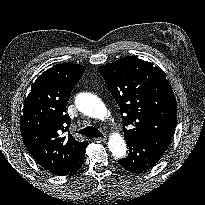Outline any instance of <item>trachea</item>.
I'll use <instances>...</instances> for the list:
<instances>
[{
	"label": "trachea",
	"instance_id": "1",
	"mask_svg": "<svg viewBox=\"0 0 205 205\" xmlns=\"http://www.w3.org/2000/svg\"><path fill=\"white\" fill-rule=\"evenodd\" d=\"M78 133L88 137H103V134L93 126L81 129L78 131Z\"/></svg>",
	"mask_w": 205,
	"mask_h": 205
}]
</instances>
